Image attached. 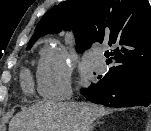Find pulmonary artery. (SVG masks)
<instances>
[{"label": "pulmonary artery", "instance_id": "pulmonary-artery-1", "mask_svg": "<svg viewBox=\"0 0 151 131\" xmlns=\"http://www.w3.org/2000/svg\"><path fill=\"white\" fill-rule=\"evenodd\" d=\"M94 59H95V63L98 69H104L105 68V61L103 59V55L101 52L99 51H95L93 53Z\"/></svg>", "mask_w": 151, "mask_h": 131}]
</instances>
